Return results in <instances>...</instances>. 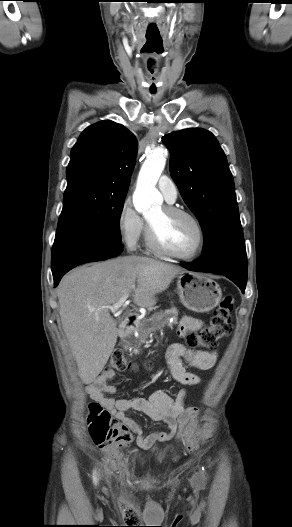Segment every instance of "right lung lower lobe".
<instances>
[{"label": "right lung lower lobe", "instance_id": "right-lung-lower-lobe-1", "mask_svg": "<svg viewBox=\"0 0 292 527\" xmlns=\"http://www.w3.org/2000/svg\"><path fill=\"white\" fill-rule=\"evenodd\" d=\"M123 251L120 242L107 236L74 230L57 231L52 248L51 269L55 287L72 268L88 262L118 256Z\"/></svg>", "mask_w": 292, "mask_h": 527}]
</instances>
